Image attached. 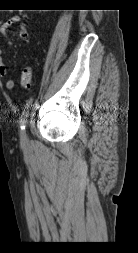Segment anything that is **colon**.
Instances as JSON below:
<instances>
[{"label":"colon","instance_id":"colon-1","mask_svg":"<svg viewBox=\"0 0 138 253\" xmlns=\"http://www.w3.org/2000/svg\"><path fill=\"white\" fill-rule=\"evenodd\" d=\"M33 85V70L30 66H26L21 74L20 87L23 90L31 89Z\"/></svg>","mask_w":138,"mask_h":253}]
</instances>
